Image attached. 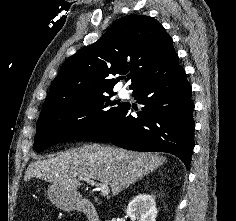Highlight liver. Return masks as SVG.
Returning a JSON list of instances; mask_svg holds the SVG:
<instances>
[{"label": "liver", "instance_id": "6515ba94", "mask_svg": "<svg viewBox=\"0 0 236 221\" xmlns=\"http://www.w3.org/2000/svg\"><path fill=\"white\" fill-rule=\"evenodd\" d=\"M166 161L158 154L91 144L32 162L24 179L35 177L77 192L81 186L80 178L86 177L109 185L112 194L118 195Z\"/></svg>", "mask_w": 236, "mask_h": 221}]
</instances>
